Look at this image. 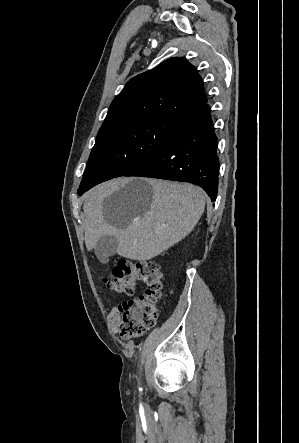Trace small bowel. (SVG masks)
<instances>
[{
  "label": "small bowel",
  "mask_w": 299,
  "mask_h": 443,
  "mask_svg": "<svg viewBox=\"0 0 299 443\" xmlns=\"http://www.w3.org/2000/svg\"><path fill=\"white\" fill-rule=\"evenodd\" d=\"M109 325L113 330H117L120 324V314L117 309H112L108 314Z\"/></svg>",
  "instance_id": "small-bowel-1"
}]
</instances>
